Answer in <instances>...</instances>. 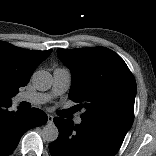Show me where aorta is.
<instances>
[{
  "instance_id": "1",
  "label": "aorta",
  "mask_w": 156,
  "mask_h": 156,
  "mask_svg": "<svg viewBox=\"0 0 156 156\" xmlns=\"http://www.w3.org/2000/svg\"><path fill=\"white\" fill-rule=\"evenodd\" d=\"M32 83L39 91H46L52 85V75L44 70L34 72L32 75ZM42 138L47 142H54L59 135L58 128L54 123H48L42 129Z\"/></svg>"
}]
</instances>
